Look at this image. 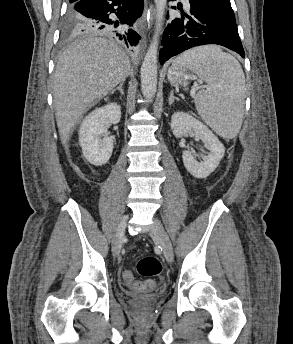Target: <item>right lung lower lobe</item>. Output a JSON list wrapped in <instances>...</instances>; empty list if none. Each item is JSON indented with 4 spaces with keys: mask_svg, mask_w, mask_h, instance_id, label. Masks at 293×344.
I'll list each match as a JSON object with an SVG mask.
<instances>
[{
    "mask_svg": "<svg viewBox=\"0 0 293 344\" xmlns=\"http://www.w3.org/2000/svg\"><path fill=\"white\" fill-rule=\"evenodd\" d=\"M87 19L81 31H98L126 45L138 44L140 36L132 26L143 11V0H77L69 9Z\"/></svg>",
    "mask_w": 293,
    "mask_h": 344,
    "instance_id": "obj_1",
    "label": "right lung lower lobe"
}]
</instances>
